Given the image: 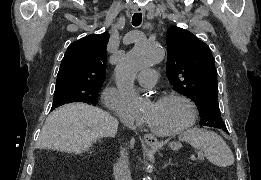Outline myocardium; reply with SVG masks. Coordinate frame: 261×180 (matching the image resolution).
Instances as JSON below:
<instances>
[{
	"instance_id": "myocardium-1",
	"label": "myocardium",
	"mask_w": 261,
	"mask_h": 180,
	"mask_svg": "<svg viewBox=\"0 0 261 180\" xmlns=\"http://www.w3.org/2000/svg\"><path fill=\"white\" fill-rule=\"evenodd\" d=\"M159 98H161V99H163V98H176V99L181 100L183 103H185V105L188 108V115H187V118L185 120V123H184L183 127L181 128V130L177 133L164 135V136H155V135H152L148 131L146 125L142 121L144 132H145L146 136H148L150 138L178 140L182 136H184L188 132V130L192 127V125L194 124L195 119H196V112H197L196 104L189 96H187L185 93L178 91V90L165 91L160 95Z\"/></svg>"
}]
</instances>
